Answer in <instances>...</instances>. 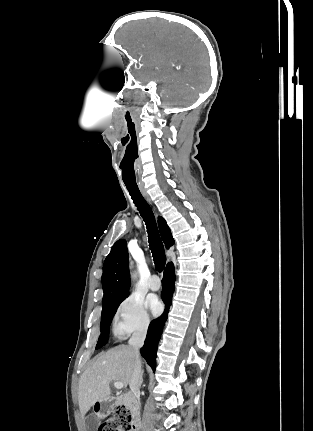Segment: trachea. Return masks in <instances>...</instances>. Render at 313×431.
Instances as JSON below:
<instances>
[{"label": "trachea", "instance_id": "3493384b", "mask_svg": "<svg viewBox=\"0 0 313 431\" xmlns=\"http://www.w3.org/2000/svg\"><path fill=\"white\" fill-rule=\"evenodd\" d=\"M126 188L129 191V194L135 206L137 207L140 215L145 221L147 232H148V238H149L148 240L149 246L153 255L154 264L157 271L161 272L165 267L166 255H165L164 246L156 225L154 214L150 206L146 202V200L143 198L139 188L131 187L127 185H126Z\"/></svg>", "mask_w": 313, "mask_h": 431}]
</instances>
